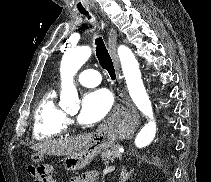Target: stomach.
Masks as SVG:
<instances>
[{
	"instance_id": "0dacf381",
	"label": "stomach",
	"mask_w": 211,
	"mask_h": 182,
	"mask_svg": "<svg viewBox=\"0 0 211 182\" xmlns=\"http://www.w3.org/2000/svg\"><path fill=\"white\" fill-rule=\"evenodd\" d=\"M117 132L110 127L97 131L91 141L80 151L68 155L64 160V166L68 171H78L86 167L96 155L104 149L111 148L117 141ZM32 160L39 162L42 160V154L32 155Z\"/></svg>"
}]
</instances>
